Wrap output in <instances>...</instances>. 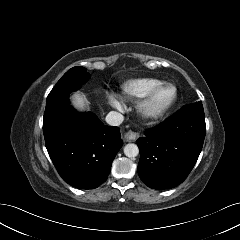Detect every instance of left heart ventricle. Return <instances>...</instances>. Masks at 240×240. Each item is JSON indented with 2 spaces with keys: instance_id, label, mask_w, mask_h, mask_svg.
Listing matches in <instances>:
<instances>
[{
  "instance_id": "obj_1",
  "label": "left heart ventricle",
  "mask_w": 240,
  "mask_h": 240,
  "mask_svg": "<svg viewBox=\"0 0 240 240\" xmlns=\"http://www.w3.org/2000/svg\"><path fill=\"white\" fill-rule=\"evenodd\" d=\"M173 95V90L172 89H165L161 91L155 98L154 100V105L155 106H162L165 104Z\"/></svg>"
}]
</instances>
